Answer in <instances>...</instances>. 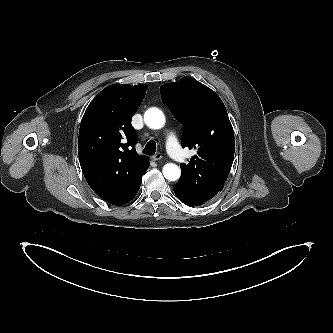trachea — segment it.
Instances as JSON below:
<instances>
[{"label": "trachea", "instance_id": "trachea-1", "mask_svg": "<svg viewBox=\"0 0 333 333\" xmlns=\"http://www.w3.org/2000/svg\"><path fill=\"white\" fill-rule=\"evenodd\" d=\"M155 151H156V144L155 141L153 140H150L143 149V153L146 155H153L155 154Z\"/></svg>", "mask_w": 333, "mask_h": 333}]
</instances>
